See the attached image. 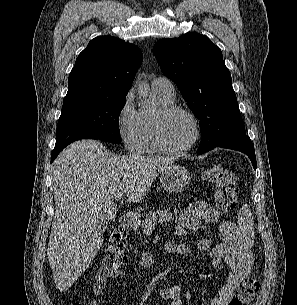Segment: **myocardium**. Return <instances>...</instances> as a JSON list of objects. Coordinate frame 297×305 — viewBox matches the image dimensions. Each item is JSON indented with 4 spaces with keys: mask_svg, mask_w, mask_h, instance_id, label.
<instances>
[{
    "mask_svg": "<svg viewBox=\"0 0 297 305\" xmlns=\"http://www.w3.org/2000/svg\"><path fill=\"white\" fill-rule=\"evenodd\" d=\"M175 113H183L190 118L194 126V136L192 140L183 147L173 148L168 146L163 137L162 126L165 119ZM201 137V126L197 116L189 109L171 104L161 107L153 117L152 121V140L156 148L168 155H180L190 151L199 141Z\"/></svg>",
    "mask_w": 297,
    "mask_h": 305,
    "instance_id": "1",
    "label": "myocardium"
}]
</instances>
